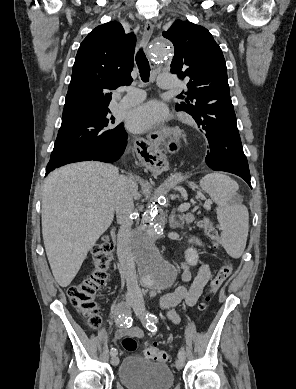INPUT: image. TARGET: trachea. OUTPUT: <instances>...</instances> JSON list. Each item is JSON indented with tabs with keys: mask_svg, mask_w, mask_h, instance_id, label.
I'll use <instances>...</instances> for the list:
<instances>
[{
	"mask_svg": "<svg viewBox=\"0 0 296 389\" xmlns=\"http://www.w3.org/2000/svg\"><path fill=\"white\" fill-rule=\"evenodd\" d=\"M136 64L138 66L142 81L148 82L150 77V66L149 61L142 49H140L136 54Z\"/></svg>",
	"mask_w": 296,
	"mask_h": 389,
	"instance_id": "3493384b",
	"label": "trachea"
}]
</instances>
